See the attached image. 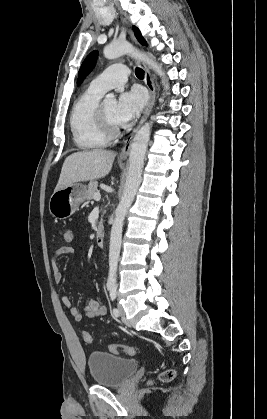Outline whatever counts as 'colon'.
Wrapping results in <instances>:
<instances>
[{"mask_svg":"<svg viewBox=\"0 0 267 419\" xmlns=\"http://www.w3.org/2000/svg\"><path fill=\"white\" fill-rule=\"evenodd\" d=\"M62 238L65 241L66 245L75 246L74 244V232L66 228L62 231ZM82 338L85 342L90 343L92 341V336L89 332L84 331L82 333ZM108 350L114 354H126V355H135L136 349L130 345H120V344H110L108 345ZM175 371L171 368L166 369L160 375V379L163 381H170L174 378Z\"/></svg>","mask_w":267,"mask_h":419,"instance_id":"colon-1","label":"colon"}]
</instances>
